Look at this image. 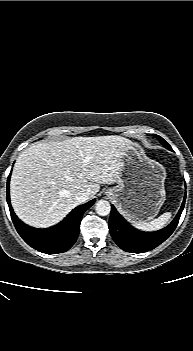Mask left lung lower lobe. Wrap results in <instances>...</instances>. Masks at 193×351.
Masks as SVG:
<instances>
[{"mask_svg":"<svg viewBox=\"0 0 193 351\" xmlns=\"http://www.w3.org/2000/svg\"><path fill=\"white\" fill-rule=\"evenodd\" d=\"M185 198L186 196L174 220L167 227L156 232H143L135 229L112 205L109 230L113 240L121 249L127 252L140 253L154 249L164 242L175 230L185 205Z\"/></svg>","mask_w":193,"mask_h":351,"instance_id":"1","label":"left lung lower lobe"}]
</instances>
